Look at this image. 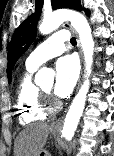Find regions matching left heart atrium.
Wrapping results in <instances>:
<instances>
[{"label":"left heart atrium","instance_id":"obj_1","mask_svg":"<svg viewBox=\"0 0 114 156\" xmlns=\"http://www.w3.org/2000/svg\"><path fill=\"white\" fill-rule=\"evenodd\" d=\"M79 76V63L75 56L67 55L56 63V80L54 93L65 98L73 91Z\"/></svg>","mask_w":114,"mask_h":156}]
</instances>
